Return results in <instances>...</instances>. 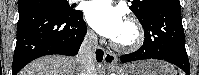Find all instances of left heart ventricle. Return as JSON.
Listing matches in <instances>:
<instances>
[{
	"label": "left heart ventricle",
	"instance_id": "obj_1",
	"mask_svg": "<svg viewBox=\"0 0 199 75\" xmlns=\"http://www.w3.org/2000/svg\"><path fill=\"white\" fill-rule=\"evenodd\" d=\"M132 38H133V31L128 25H126L124 31L122 32L117 41L127 43L130 40H132Z\"/></svg>",
	"mask_w": 199,
	"mask_h": 75
}]
</instances>
